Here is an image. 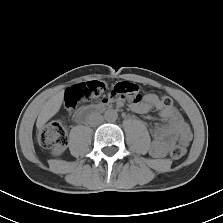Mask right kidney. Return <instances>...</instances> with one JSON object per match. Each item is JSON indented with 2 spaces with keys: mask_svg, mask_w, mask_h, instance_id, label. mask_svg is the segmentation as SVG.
Returning <instances> with one entry per match:
<instances>
[{
  "mask_svg": "<svg viewBox=\"0 0 223 223\" xmlns=\"http://www.w3.org/2000/svg\"><path fill=\"white\" fill-rule=\"evenodd\" d=\"M53 153H54L55 155H59V154L62 153V149H61V148H57V149H55V150L53 151Z\"/></svg>",
  "mask_w": 223,
  "mask_h": 223,
  "instance_id": "ca27d5eb",
  "label": "right kidney"
}]
</instances>
